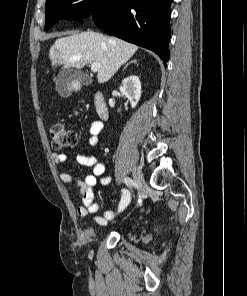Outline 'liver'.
Masks as SVG:
<instances>
[{
    "label": "liver",
    "instance_id": "6515ba94",
    "mask_svg": "<svg viewBox=\"0 0 247 296\" xmlns=\"http://www.w3.org/2000/svg\"><path fill=\"white\" fill-rule=\"evenodd\" d=\"M138 47L116 37L87 31L59 38L51 46L49 58L52 65L57 60L65 67L81 69L88 63H98L99 83L107 82L137 51Z\"/></svg>",
    "mask_w": 247,
    "mask_h": 296
}]
</instances>
